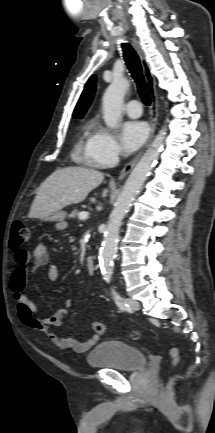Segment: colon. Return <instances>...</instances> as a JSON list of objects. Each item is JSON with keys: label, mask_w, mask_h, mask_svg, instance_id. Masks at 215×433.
<instances>
[{"label": "colon", "mask_w": 215, "mask_h": 433, "mask_svg": "<svg viewBox=\"0 0 215 433\" xmlns=\"http://www.w3.org/2000/svg\"><path fill=\"white\" fill-rule=\"evenodd\" d=\"M30 238H31L30 229L25 223L21 221H16L13 223L12 231H11V240H10V245L12 248L14 249L20 248L21 246L28 243L30 241ZM93 329L94 332L98 335H103L106 332L105 325L101 322H94ZM132 336L134 338H138L140 334L134 332L132 333ZM169 354L172 361V366L176 367L179 362L177 349L172 348Z\"/></svg>", "instance_id": "colon-1"}]
</instances>
